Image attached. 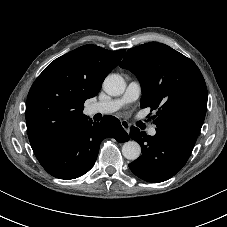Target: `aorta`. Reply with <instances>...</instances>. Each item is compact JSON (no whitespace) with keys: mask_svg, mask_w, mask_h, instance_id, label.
<instances>
[{"mask_svg":"<svg viewBox=\"0 0 227 227\" xmlns=\"http://www.w3.org/2000/svg\"><path fill=\"white\" fill-rule=\"evenodd\" d=\"M103 86L109 95L119 96L124 93L126 83L119 74H111L105 78ZM122 154L128 160H136L141 154V147L136 141L130 140L123 144Z\"/></svg>","mask_w":227,"mask_h":227,"instance_id":"762f6f07","label":"aorta"}]
</instances>
